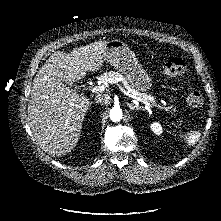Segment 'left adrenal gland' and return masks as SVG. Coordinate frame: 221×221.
<instances>
[{"instance_id":"1","label":"left adrenal gland","mask_w":221,"mask_h":221,"mask_svg":"<svg viewBox=\"0 0 221 221\" xmlns=\"http://www.w3.org/2000/svg\"><path fill=\"white\" fill-rule=\"evenodd\" d=\"M127 106L132 110H141V107L139 106H136V105H133V104H130V103H127Z\"/></svg>"}]
</instances>
